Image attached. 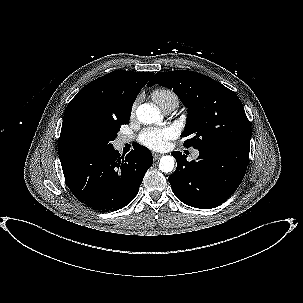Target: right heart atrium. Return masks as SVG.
Instances as JSON below:
<instances>
[{
    "instance_id": "obj_1",
    "label": "right heart atrium",
    "mask_w": 303,
    "mask_h": 303,
    "mask_svg": "<svg viewBox=\"0 0 303 303\" xmlns=\"http://www.w3.org/2000/svg\"><path fill=\"white\" fill-rule=\"evenodd\" d=\"M136 109V103H134L131 107V114L134 115Z\"/></svg>"
}]
</instances>
